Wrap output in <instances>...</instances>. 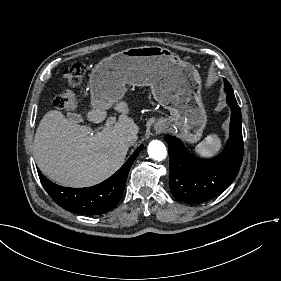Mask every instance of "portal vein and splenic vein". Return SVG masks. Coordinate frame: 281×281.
Masks as SVG:
<instances>
[{
    "instance_id": "portal-vein-and-splenic-vein-1",
    "label": "portal vein and splenic vein",
    "mask_w": 281,
    "mask_h": 281,
    "mask_svg": "<svg viewBox=\"0 0 281 281\" xmlns=\"http://www.w3.org/2000/svg\"><path fill=\"white\" fill-rule=\"evenodd\" d=\"M114 123H115L114 117L108 118L106 123H105V130H109L110 128H112ZM101 131H103V130H101Z\"/></svg>"
}]
</instances>
